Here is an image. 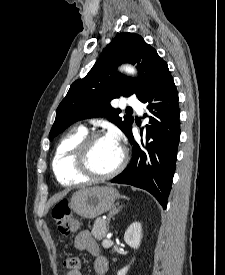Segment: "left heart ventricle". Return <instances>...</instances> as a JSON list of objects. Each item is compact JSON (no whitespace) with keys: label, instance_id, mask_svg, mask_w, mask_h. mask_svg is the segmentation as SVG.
<instances>
[{"label":"left heart ventricle","instance_id":"obj_1","mask_svg":"<svg viewBox=\"0 0 225 275\" xmlns=\"http://www.w3.org/2000/svg\"><path fill=\"white\" fill-rule=\"evenodd\" d=\"M120 158V146L104 137L92 144L88 155V164L94 173L106 174L116 168Z\"/></svg>","mask_w":225,"mask_h":275}]
</instances>
